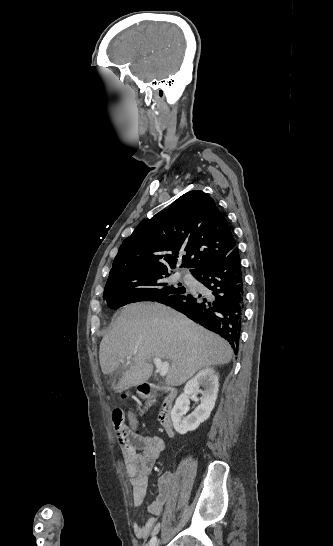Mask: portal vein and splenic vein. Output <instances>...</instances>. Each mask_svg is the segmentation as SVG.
<instances>
[{"label":"portal vein and splenic vein","instance_id":"18ae733b","mask_svg":"<svg viewBox=\"0 0 333 546\" xmlns=\"http://www.w3.org/2000/svg\"><path fill=\"white\" fill-rule=\"evenodd\" d=\"M127 363H130L129 359H128ZM153 363L156 366L157 371H159L161 376H166L167 375L168 370H169L168 361L163 362V361H161L160 358L155 357V358H153Z\"/></svg>","mask_w":333,"mask_h":546}]
</instances>
